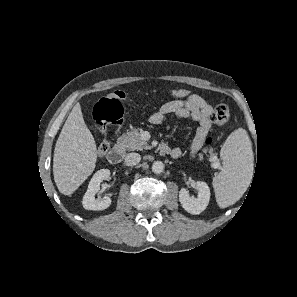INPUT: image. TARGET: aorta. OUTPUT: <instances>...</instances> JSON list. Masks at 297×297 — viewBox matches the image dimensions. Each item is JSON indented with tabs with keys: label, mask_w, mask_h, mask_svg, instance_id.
Listing matches in <instances>:
<instances>
[{
	"label": "aorta",
	"mask_w": 297,
	"mask_h": 297,
	"mask_svg": "<svg viewBox=\"0 0 297 297\" xmlns=\"http://www.w3.org/2000/svg\"><path fill=\"white\" fill-rule=\"evenodd\" d=\"M152 171L155 174H160L164 171V164L161 161H155L152 164Z\"/></svg>",
	"instance_id": "aorta-1"
}]
</instances>
